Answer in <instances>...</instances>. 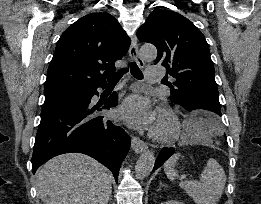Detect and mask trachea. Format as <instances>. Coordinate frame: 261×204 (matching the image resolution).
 I'll use <instances>...</instances> for the list:
<instances>
[{
	"label": "trachea",
	"mask_w": 261,
	"mask_h": 204,
	"mask_svg": "<svg viewBox=\"0 0 261 204\" xmlns=\"http://www.w3.org/2000/svg\"><path fill=\"white\" fill-rule=\"evenodd\" d=\"M130 71H131V74L136 78V79H143V73L142 71L139 69V67L137 66V64L135 62H132L130 64ZM126 72V69H121L119 71V73L117 74V76L115 78H113L111 80V84H115L119 81V79L121 78V76Z\"/></svg>",
	"instance_id": "1"
}]
</instances>
